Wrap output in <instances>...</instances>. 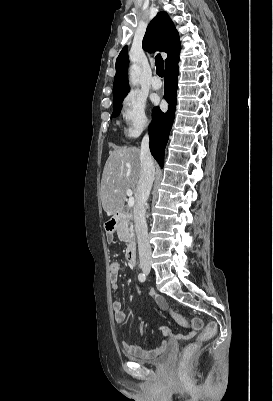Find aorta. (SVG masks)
<instances>
[{
  "mask_svg": "<svg viewBox=\"0 0 273 401\" xmlns=\"http://www.w3.org/2000/svg\"><path fill=\"white\" fill-rule=\"evenodd\" d=\"M139 67L137 65H132L130 70V81L133 85L137 84V72Z\"/></svg>",
  "mask_w": 273,
  "mask_h": 401,
  "instance_id": "1",
  "label": "aorta"
}]
</instances>
